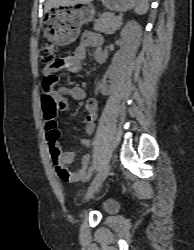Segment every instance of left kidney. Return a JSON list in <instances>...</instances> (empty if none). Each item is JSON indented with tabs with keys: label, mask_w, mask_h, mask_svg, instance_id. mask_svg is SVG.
<instances>
[{
	"label": "left kidney",
	"mask_w": 194,
	"mask_h": 250,
	"mask_svg": "<svg viewBox=\"0 0 194 250\" xmlns=\"http://www.w3.org/2000/svg\"><path fill=\"white\" fill-rule=\"evenodd\" d=\"M120 36L125 42L128 58L132 60L140 46L142 36L141 26L136 21L131 20L124 26Z\"/></svg>",
	"instance_id": "left-kidney-1"
}]
</instances>
